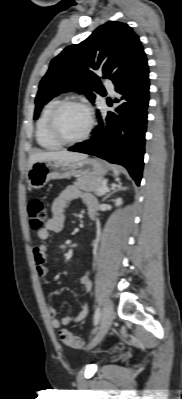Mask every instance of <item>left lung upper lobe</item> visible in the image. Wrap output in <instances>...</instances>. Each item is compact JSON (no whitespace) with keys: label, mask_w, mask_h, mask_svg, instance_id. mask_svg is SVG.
<instances>
[{"label":"left lung upper lobe","mask_w":182,"mask_h":399,"mask_svg":"<svg viewBox=\"0 0 182 399\" xmlns=\"http://www.w3.org/2000/svg\"><path fill=\"white\" fill-rule=\"evenodd\" d=\"M146 61L139 37L127 24L109 21L99 26L86 40L66 47L51 61L39 85L34 119L43 105L61 92L84 93L93 103L95 93L102 89L97 73L116 86Z\"/></svg>","instance_id":"obj_1"}]
</instances>
